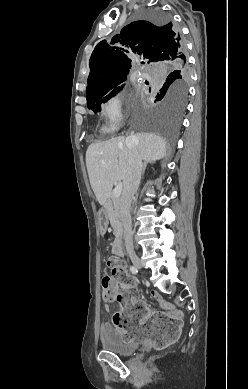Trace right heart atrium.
I'll list each match as a JSON object with an SVG mask.
<instances>
[{
    "label": "right heart atrium",
    "mask_w": 248,
    "mask_h": 389,
    "mask_svg": "<svg viewBox=\"0 0 248 389\" xmlns=\"http://www.w3.org/2000/svg\"><path fill=\"white\" fill-rule=\"evenodd\" d=\"M99 113L104 121V130L106 132L117 131L123 120L122 99L120 95H108L101 103Z\"/></svg>",
    "instance_id": "right-heart-atrium-1"
}]
</instances>
